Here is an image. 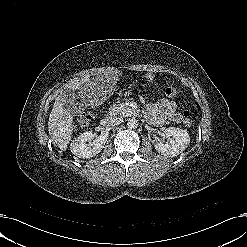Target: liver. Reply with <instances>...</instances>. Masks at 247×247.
<instances>
[{
	"label": "liver",
	"instance_id": "liver-1",
	"mask_svg": "<svg viewBox=\"0 0 247 247\" xmlns=\"http://www.w3.org/2000/svg\"><path fill=\"white\" fill-rule=\"evenodd\" d=\"M89 80L88 76L81 79H72L65 85L66 88L76 90ZM63 99L59 95L54 102L52 111L49 116L48 130L52 139L61 150H66L72 133L75 129L72 114L66 110L62 104Z\"/></svg>",
	"mask_w": 247,
	"mask_h": 247
}]
</instances>
